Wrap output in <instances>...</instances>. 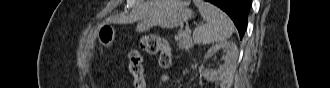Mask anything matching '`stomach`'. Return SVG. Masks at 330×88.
I'll use <instances>...</instances> for the list:
<instances>
[{
  "label": "stomach",
  "mask_w": 330,
  "mask_h": 88,
  "mask_svg": "<svg viewBox=\"0 0 330 88\" xmlns=\"http://www.w3.org/2000/svg\"><path fill=\"white\" fill-rule=\"evenodd\" d=\"M193 11L179 0H156L146 19L140 20L136 30L146 31L158 26L167 29L177 28L192 18ZM115 27L110 23H102L97 28V38L101 45L109 47L115 40Z\"/></svg>",
  "instance_id": "1"
}]
</instances>
